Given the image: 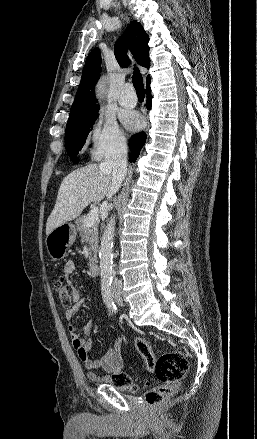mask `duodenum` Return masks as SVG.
Here are the masks:
<instances>
[{"label": "duodenum", "instance_id": "obj_1", "mask_svg": "<svg viewBox=\"0 0 257 439\" xmlns=\"http://www.w3.org/2000/svg\"><path fill=\"white\" fill-rule=\"evenodd\" d=\"M89 270L92 276L97 277L100 275V266L96 261H92L89 266Z\"/></svg>", "mask_w": 257, "mask_h": 439}]
</instances>
